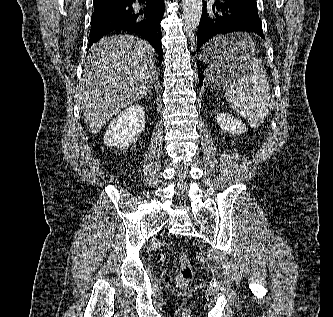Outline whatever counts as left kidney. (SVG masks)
<instances>
[{
  "label": "left kidney",
  "instance_id": "1",
  "mask_svg": "<svg viewBox=\"0 0 333 317\" xmlns=\"http://www.w3.org/2000/svg\"><path fill=\"white\" fill-rule=\"evenodd\" d=\"M216 119L220 128L232 135H239L247 130L243 123L226 113H218Z\"/></svg>",
  "mask_w": 333,
  "mask_h": 317
}]
</instances>
